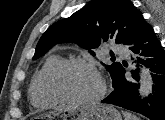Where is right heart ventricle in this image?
Masks as SVG:
<instances>
[{"label": "right heart ventricle", "mask_w": 165, "mask_h": 120, "mask_svg": "<svg viewBox=\"0 0 165 120\" xmlns=\"http://www.w3.org/2000/svg\"><path fill=\"white\" fill-rule=\"evenodd\" d=\"M58 61H60L59 56H49L39 72L34 76L30 85V98L34 106L48 108L55 106L58 103V101L49 94L46 88L47 76Z\"/></svg>", "instance_id": "obj_1"}]
</instances>
